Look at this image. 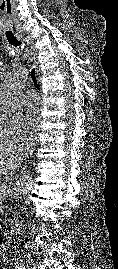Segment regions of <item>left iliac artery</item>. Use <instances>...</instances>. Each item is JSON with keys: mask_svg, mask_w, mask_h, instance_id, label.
Instances as JSON below:
<instances>
[{"mask_svg": "<svg viewBox=\"0 0 118 269\" xmlns=\"http://www.w3.org/2000/svg\"><path fill=\"white\" fill-rule=\"evenodd\" d=\"M15 267H16L17 269H25V263L23 262L22 259H20V258H16V259H15Z\"/></svg>", "mask_w": 118, "mask_h": 269, "instance_id": "1", "label": "left iliac artery"}]
</instances>
